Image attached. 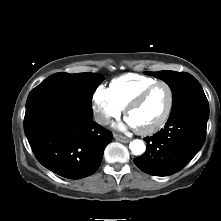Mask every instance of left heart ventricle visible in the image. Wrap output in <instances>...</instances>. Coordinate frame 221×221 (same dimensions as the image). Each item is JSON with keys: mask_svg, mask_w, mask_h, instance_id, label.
<instances>
[{"mask_svg": "<svg viewBox=\"0 0 221 221\" xmlns=\"http://www.w3.org/2000/svg\"><path fill=\"white\" fill-rule=\"evenodd\" d=\"M169 101L168 90L165 86H157L128 116L129 122L137 129L154 126L163 117Z\"/></svg>", "mask_w": 221, "mask_h": 221, "instance_id": "1", "label": "left heart ventricle"}]
</instances>
